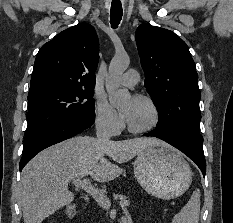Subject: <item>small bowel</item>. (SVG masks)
Instances as JSON below:
<instances>
[{"mask_svg": "<svg viewBox=\"0 0 233 223\" xmlns=\"http://www.w3.org/2000/svg\"><path fill=\"white\" fill-rule=\"evenodd\" d=\"M121 223H130V221L127 218H123Z\"/></svg>", "mask_w": 233, "mask_h": 223, "instance_id": "small-bowel-1", "label": "small bowel"}]
</instances>
